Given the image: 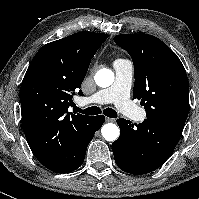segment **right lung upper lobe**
I'll return each instance as SVG.
<instances>
[{
	"mask_svg": "<svg viewBox=\"0 0 199 199\" xmlns=\"http://www.w3.org/2000/svg\"><path fill=\"white\" fill-rule=\"evenodd\" d=\"M108 34L78 32L41 47L32 59L20 89L24 133L35 132L60 147L92 116L68 112L92 57ZM78 94L83 95L80 90Z\"/></svg>",
	"mask_w": 199,
	"mask_h": 199,
	"instance_id": "obj_1",
	"label": "right lung upper lobe"
}]
</instances>
